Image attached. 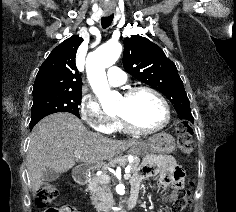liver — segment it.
Listing matches in <instances>:
<instances>
[{"label":"liver","mask_w":236,"mask_h":212,"mask_svg":"<svg viewBox=\"0 0 236 212\" xmlns=\"http://www.w3.org/2000/svg\"><path fill=\"white\" fill-rule=\"evenodd\" d=\"M138 140H112L88 131L73 114L54 113L42 119L32 130L27 155L30 188L35 194L43 184V171H69L75 162L101 166L135 145ZM81 152L77 157L74 153Z\"/></svg>","instance_id":"liver-1"}]
</instances>
